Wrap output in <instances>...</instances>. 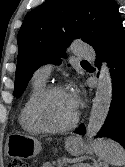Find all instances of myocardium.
I'll use <instances>...</instances> for the list:
<instances>
[{
	"mask_svg": "<svg viewBox=\"0 0 125 167\" xmlns=\"http://www.w3.org/2000/svg\"><path fill=\"white\" fill-rule=\"evenodd\" d=\"M66 92V88L62 85H51L46 87L35 99L31 107V119L34 125L41 131L45 133H62L72 129L79 119V111L76 109L74 117L70 122L61 127H49L43 123L40 118V110L44 101L54 93Z\"/></svg>",
	"mask_w": 125,
	"mask_h": 167,
	"instance_id": "obj_1",
	"label": "myocardium"
}]
</instances>
